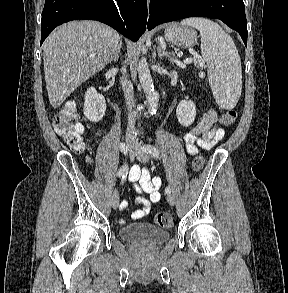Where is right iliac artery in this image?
Instances as JSON below:
<instances>
[{
  "instance_id": "82829eb1",
  "label": "right iliac artery",
  "mask_w": 288,
  "mask_h": 293,
  "mask_svg": "<svg viewBox=\"0 0 288 293\" xmlns=\"http://www.w3.org/2000/svg\"><path fill=\"white\" fill-rule=\"evenodd\" d=\"M120 149L122 151L123 154H126L128 151V148L125 147V144L121 143L120 144ZM122 174H128V166L127 165H123L119 171H118V176L121 177Z\"/></svg>"
}]
</instances>
